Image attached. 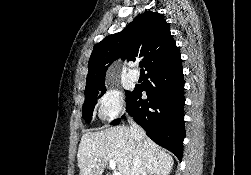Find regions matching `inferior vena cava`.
Returning a JSON list of instances; mask_svg holds the SVG:
<instances>
[{
  "instance_id": "obj_1",
  "label": "inferior vena cava",
  "mask_w": 251,
  "mask_h": 175,
  "mask_svg": "<svg viewBox=\"0 0 251 175\" xmlns=\"http://www.w3.org/2000/svg\"><path fill=\"white\" fill-rule=\"evenodd\" d=\"M128 121L129 123H131L130 125L131 135H133L134 139H138V145H141L142 143L141 139L144 133L142 127H139V125H137L135 121H132L131 117H129ZM142 165L143 163L141 157H139V155H135V159H133V167L131 175H139L141 169H143ZM143 175H145V173H143Z\"/></svg>"
}]
</instances>
